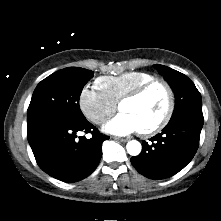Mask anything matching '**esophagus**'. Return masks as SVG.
<instances>
[{
  "label": "esophagus",
  "mask_w": 221,
  "mask_h": 221,
  "mask_svg": "<svg viewBox=\"0 0 221 221\" xmlns=\"http://www.w3.org/2000/svg\"><path fill=\"white\" fill-rule=\"evenodd\" d=\"M114 140H116V141H118V142H123V143H125V142L128 141L127 138H119V137H114Z\"/></svg>",
  "instance_id": "34e87169"
}]
</instances>
